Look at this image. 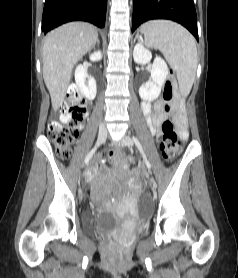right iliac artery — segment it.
<instances>
[{"instance_id": "obj_1", "label": "right iliac artery", "mask_w": 238, "mask_h": 278, "mask_svg": "<svg viewBox=\"0 0 238 278\" xmlns=\"http://www.w3.org/2000/svg\"><path fill=\"white\" fill-rule=\"evenodd\" d=\"M96 149H97V147H94L89 153H88V155L86 156V158H85V163H88L89 162V160L91 159V157L93 156V154L95 153V151H96Z\"/></svg>"}]
</instances>
